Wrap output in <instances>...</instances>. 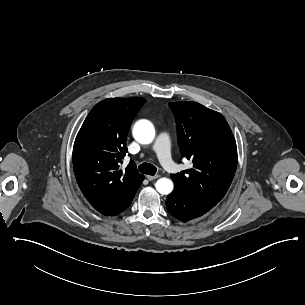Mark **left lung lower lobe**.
I'll return each instance as SVG.
<instances>
[{
  "instance_id": "obj_1",
  "label": "left lung lower lobe",
  "mask_w": 305,
  "mask_h": 305,
  "mask_svg": "<svg viewBox=\"0 0 305 305\" xmlns=\"http://www.w3.org/2000/svg\"><path fill=\"white\" fill-rule=\"evenodd\" d=\"M216 204L217 202L188 197L176 189L168 195L166 200L168 212L182 222H187L204 215Z\"/></svg>"
}]
</instances>
